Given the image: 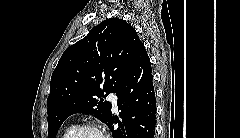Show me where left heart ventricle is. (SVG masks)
Here are the masks:
<instances>
[{
  "instance_id": "b2bd125f",
  "label": "left heart ventricle",
  "mask_w": 240,
  "mask_h": 138,
  "mask_svg": "<svg viewBox=\"0 0 240 138\" xmlns=\"http://www.w3.org/2000/svg\"><path fill=\"white\" fill-rule=\"evenodd\" d=\"M77 138H101L100 135L94 131H84Z\"/></svg>"
}]
</instances>
